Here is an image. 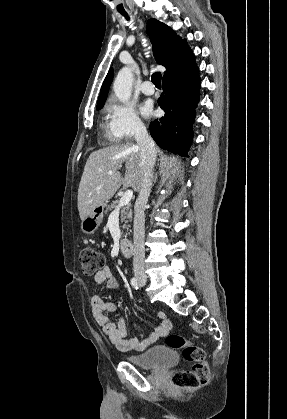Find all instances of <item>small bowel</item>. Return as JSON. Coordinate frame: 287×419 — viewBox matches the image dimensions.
<instances>
[{
  "mask_svg": "<svg viewBox=\"0 0 287 419\" xmlns=\"http://www.w3.org/2000/svg\"><path fill=\"white\" fill-rule=\"evenodd\" d=\"M96 285L106 284L110 288H116L117 283L109 267H105L96 273L94 277ZM91 312L95 322L102 328L104 334L111 343L120 351H143L155 342L167 336L171 330V322L164 312H158L160 322L156 330L146 336L127 339L128 327L125 320L120 317L116 323L112 322L106 312H114L117 305L113 302H105L100 296L94 295L90 300Z\"/></svg>",
  "mask_w": 287,
  "mask_h": 419,
  "instance_id": "1",
  "label": "small bowel"
}]
</instances>
